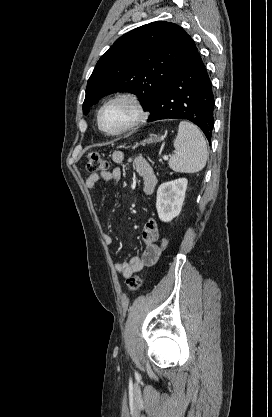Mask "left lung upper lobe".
Here are the masks:
<instances>
[{
    "label": "left lung upper lobe",
    "instance_id": "1",
    "mask_svg": "<svg viewBox=\"0 0 272 417\" xmlns=\"http://www.w3.org/2000/svg\"><path fill=\"white\" fill-rule=\"evenodd\" d=\"M197 51L192 38L174 23L151 22L124 34L97 62L87 83L83 113L118 91L136 93L151 112L159 94Z\"/></svg>",
    "mask_w": 272,
    "mask_h": 417
}]
</instances>
